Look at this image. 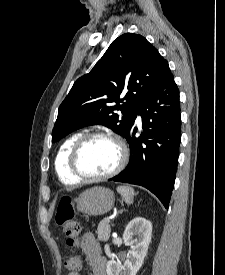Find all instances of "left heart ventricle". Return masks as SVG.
Segmentation results:
<instances>
[{
  "label": "left heart ventricle",
  "mask_w": 225,
  "mask_h": 275,
  "mask_svg": "<svg viewBox=\"0 0 225 275\" xmlns=\"http://www.w3.org/2000/svg\"><path fill=\"white\" fill-rule=\"evenodd\" d=\"M118 160L119 149L116 143L104 138H95L82 149L78 164L85 174L102 175L113 170Z\"/></svg>",
  "instance_id": "obj_1"
}]
</instances>
